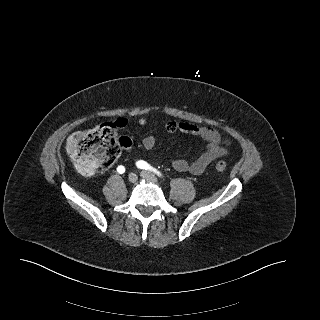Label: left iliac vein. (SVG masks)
I'll list each match as a JSON object with an SVG mask.
<instances>
[{"mask_svg": "<svg viewBox=\"0 0 320 320\" xmlns=\"http://www.w3.org/2000/svg\"><path fill=\"white\" fill-rule=\"evenodd\" d=\"M140 176L142 178H144L145 180H147V181H151L153 183H157L158 182V179L152 173H150L148 171H142L140 173Z\"/></svg>", "mask_w": 320, "mask_h": 320, "instance_id": "left-iliac-vein-1", "label": "left iliac vein"}]
</instances>
